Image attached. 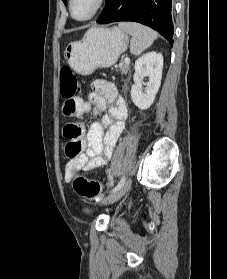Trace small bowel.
I'll use <instances>...</instances> for the list:
<instances>
[{
    "instance_id": "obj_1",
    "label": "small bowel",
    "mask_w": 227,
    "mask_h": 279,
    "mask_svg": "<svg viewBox=\"0 0 227 279\" xmlns=\"http://www.w3.org/2000/svg\"><path fill=\"white\" fill-rule=\"evenodd\" d=\"M77 102L79 107L76 117L90 111L94 115H100L106 110L107 112L100 119L91 122L87 129L82 123H71L80 130L73 139L79 144L80 153L66 165L65 181L68 183L72 182L77 170L91 171L108 163L128 117L124 99L116 86L109 81H95L87 100L78 98Z\"/></svg>"
}]
</instances>
